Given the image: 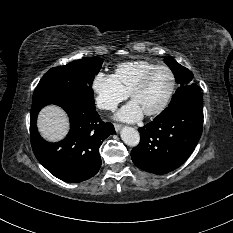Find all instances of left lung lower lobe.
<instances>
[{"mask_svg":"<svg viewBox=\"0 0 233 233\" xmlns=\"http://www.w3.org/2000/svg\"><path fill=\"white\" fill-rule=\"evenodd\" d=\"M203 124L201 94L192 95L164 115L140 127V143L132 149L134 164L147 172L166 174L180 167L195 149Z\"/></svg>","mask_w":233,"mask_h":233,"instance_id":"0a47b994","label":"left lung lower lobe"}]
</instances>
